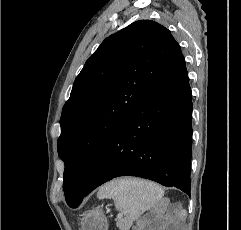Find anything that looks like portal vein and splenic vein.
<instances>
[{"label": "portal vein and splenic vein", "mask_w": 241, "mask_h": 230, "mask_svg": "<svg viewBox=\"0 0 241 230\" xmlns=\"http://www.w3.org/2000/svg\"><path fill=\"white\" fill-rule=\"evenodd\" d=\"M119 217L122 218V217H123V214H120Z\"/></svg>", "instance_id": "obj_1"}]
</instances>
